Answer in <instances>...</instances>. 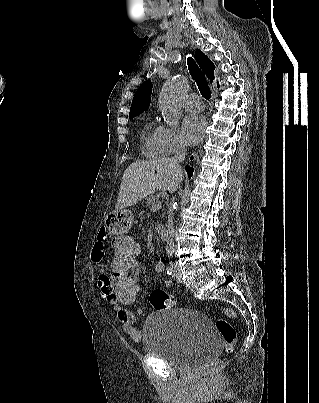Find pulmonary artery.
<instances>
[{
	"label": "pulmonary artery",
	"instance_id": "1",
	"mask_svg": "<svg viewBox=\"0 0 319 403\" xmlns=\"http://www.w3.org/2000/svg\"><path fill=\"white\" fill-rule=\"evenodd\" d=\"M185 105L189 110L201 111L204 108V102L200 96L193 93L187 96Z\"/></svg>",
	"mask_w": 319,
	"mask_h": 403
}]
</instances>
